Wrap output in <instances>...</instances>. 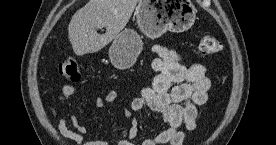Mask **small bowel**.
Here are the masks:
<instances>
[{
    "mask_svg": "<svg viewBox=\"0 0 276 145\" xmlns=\"http://www.w3.org/2000/svg\"><path fill=\"white\" fill-rule=\"evenodd\" d=\"M154 52L157 57L153 60L152 67L156 75L151 86L143 88L130 107L123 109L127 125L122 130L118 145L135 144L139 135V122L132 114L145 107L161 114L166 129L146 138L142 145H182L186 133L180 127L184 126L187 131L194 130L197 126L198 107L207 102L211 82L205 65H184L175 50L164 46H155ZM76 91L73 85L63 86L49 99L48 110L57 122L60 134L72 140L75 145H81L88 131L86 125L74 114L68 119L61 109L56 107V103L66 102ZM118 99V92L111 90L104 98L95 99V107L104 109L107 105L116 104ZM69 121L75 131L69 129ZM84 145H110V141L90 140Z\"/></svg>",
    "mask_w": 276,
    "mask_h": 145,
    "instance_id": "obj_1",
    "label": "small bowel"
}]
</instances>
